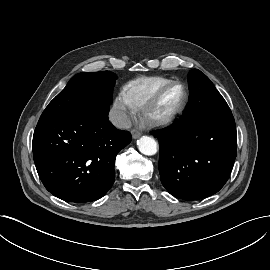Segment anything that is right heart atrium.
Returning <instances> with one entry per match:
<instances>
[{
    "mask_svg": "<svg viewBox=\"0 0 270 270\" xmlns=\"http://www.w3.org/2000/svg\"><path fill=\"white\" fill-rule=\"evenodd\" d=\"M113 117L116 124L120 128H125L129 125L133 115V107L129 103L123 92L119 93L113 101Z\"/></svg>",
    "mask_w": 270,
    "mask_h": 270,
    "instance_id": "right-heart-atrium-1",
    "label": "right heart atrium"
}]
</instances>
